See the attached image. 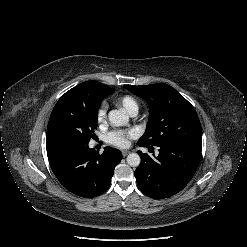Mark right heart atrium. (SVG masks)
<instances>
[{
	"instance_id": "obj_1",
	"label": "right heart atrium",
	"mask_w": 247,
	"mask_h": 247,
	"mask_svg": "<svg viewBox=\"0 0 247 247\" xmlns=\"http://www.w3.org/2000/svg\"><path fill=\"white\" fill-rule=\"evenodd\" d=\"M96 118L99 122H103L106 118V106L105 104H101L98 106L96 110Z\"/></svg>"
}]
</instances>
